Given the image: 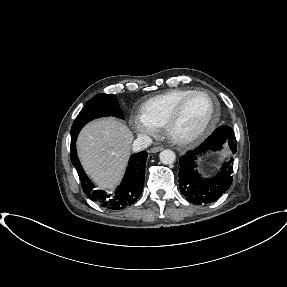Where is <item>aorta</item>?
<instances>
[{
	"instance_id": "1",
	"label": "aorta",
	"mask_w": 287,
	"mask_h": 287,
	"mask_svg": "<svg viewBox=\"0 0 287 287\" xmlns=\"http://www.w3.org/2000/svg\"><path fill=\"white\" fill-rule=\"evenodd\" d=\"M160 162L165 165L173 164L176 160L174 151L170 149L162 150L159 154Z\"/></svg>"
}]
</instances>
